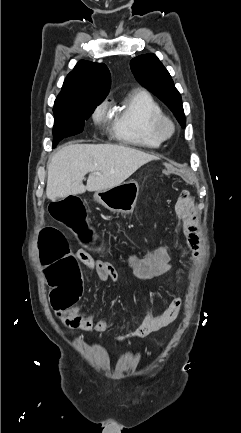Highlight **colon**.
I'll use <instances>...</instances> for the list:
<instances>
[{
  "label": "colon",
  "mask_w": 241,
  "mask_h": 433,
  "mask_svg": "<svg viewBox=\"0 0 241 433\" xmlns=\"http://www.w3.org/2000/svg\"><path fill=\"white\" fill-rule=\"evenodd\" d=\"M160 177H182L192 182L189 168H168L167 162L161 163ZM77 193L71 198H58L50 200L47 214L51 221H61L63 226L73 230V239H77L82 247L96 246L95 230H87L88 221L81 220L86 214V205L77 200ZM166 249V246H161ZM38 256L41 261L40 271L46 272L50 291V300L54 312H71L72 305L82 292L81 272L77 261L70 252L68 243L58 229L45 228L41 231L38 241Z\"/></svg>",
  "instance_id": "colon-1"
}]
</instances>
